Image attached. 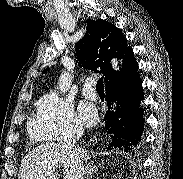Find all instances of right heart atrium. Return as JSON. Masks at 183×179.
Instances as JSON below:
<instances>
[{
	"label": "right heart atrium",
	"instance_id": "d8ad5b80",
	"mask_svg": "<svg viewBox=\"0 0 183 179\" xmlns=\"http://www.w3.org/2000/svg\"><path fill=\"white\" fill-rule=\"evenodd\" d=\"M82 131L72 104L56 93H49L38 103L31 123L32 134L42 140L55 141Z\"/></svg>",
	"mask_w": 183,
	"mask_h": 179
}]
</instances>
